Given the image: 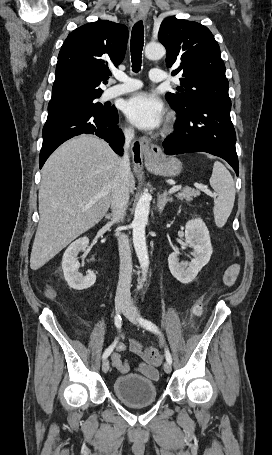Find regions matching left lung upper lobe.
Masks as SVG:
<instances>
[{
  "label": "left lung upper lobe",
  "instance_id": "5c2ea615",
  "mask_svg": "<svg viewBox=\"0 0 272 455\" xmlns=\"http://www.w3.org/2000/svg\"><path fill=\"white\" fill-rule=\"evenodd\" d=\"M158 38L167 49V67H176L172 75L182 74L181 86L166 94L176 112L205 99H230L220 48L207 27L168 17L160 25Z\"/></svg>",
  "mask_w": 272,
  "mask_h": 455
}]
</instances>
